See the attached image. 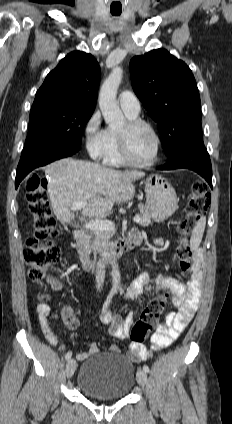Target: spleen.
Here are the masks:
<instances>
[{
    "label": "spleen",
    "instance_id": "obj_1",
    "mask_svg": "<svg viewBox=\"0 0 232 424\" xmlns=\"http://www.w3.org/2000/svg\"><path fill=\"white\" fill-rule=\"evenodd\" d=\"M206 225V217L201 216L193 228L192 235L190 238V247L193 250H197L203 237L204 229Z\"/></svg>",
    "mask_w": 232,
    "mask_h": 424
}]
</instances>
